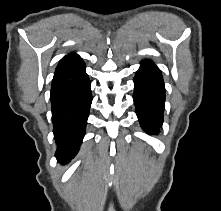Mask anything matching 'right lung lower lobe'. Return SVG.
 Masks as SVG:
<instances>
[{
	"label": "right lung lower lobe",
	"instance_id": "right-lung-lower-lobe-1",
	"mask_svg": "<svg viewBox=\"0 0 221 211\" xmlns=\"http://www.w3.org/2000/svg\"><path fill=\"white\" fill-rule=\"evenodd\" d=\"M85 64L54 75L51 86L52 122L57 143L56 157L68 163L77 154L85 135L92 102Z\"/></svg>",
	"mask_w": 221,
	"mask_h": 211
}]
</instances>
